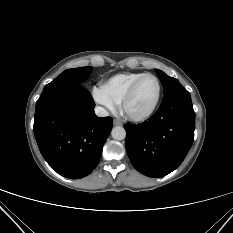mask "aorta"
<instances>
[{"label": "aorta", "mask_w": 233, "mask_h": 233, "mask_svg": "<svg viewBox=\"0 0 233 233\" xmlns=\"http://www.w3.org/2000/svg\"><path fill=\"white\" fill-rule=\"evenodd\" d=\"M111 135L115 140H123L126 137V131L122 126H115L111 131Z\"/></svg>", "instance_id": "obj_1"}]
</instances>
